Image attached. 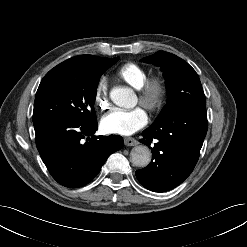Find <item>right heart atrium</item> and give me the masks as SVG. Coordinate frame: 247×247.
<instances>
[{"label": "right heart atrium", "instance_id": "obj_1", "mask_svg": "<svg viewBox=\"0 0 247 247\" xmlns=\"http://www.w3.org/2000/svg\"><path fill=\"white\" fill-rule=\"evenodd\" d=\"M94 102L101 110H104L109 106L108 88L105 79H100L95 87Z\"/></svg>", "mask_w": 247, "mask_h": 247}]
</instances>
